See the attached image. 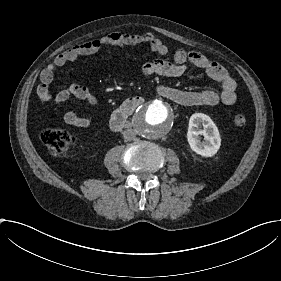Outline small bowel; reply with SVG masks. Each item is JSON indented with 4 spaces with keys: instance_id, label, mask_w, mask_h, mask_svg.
<instances>
[{
    "instance_id": "small-bowel-1",
    "label": "small bowel",
    "mask_w": 281,
    "mask_h": 281,
    "mask_svg": "<svg viewBox=\"0 0 281 281\" xmlns=\"http://www.w3.org/2000/svg\"><path fill=\"white\" fill-rule=\"evenodd\" d=\"M145 46L150 51L158 54H167L168 47L155 33L150 32H112L103 35L97 40L76 44L71 49L61 53L41 73L38 96L43 101L51 100L50 84L56 70L65 63L73 61L78 57L94 53L103 47H138ZM173 62L154 60L146 63L142 71L145 75H159L170 78H178L186 74L191 66L202 69L210 78L220 85L219 93L209 89H181L169 85L160 84L156 87L159 96L182 106H215L222 104L230 106L236 102V82L233 76L225 70L214 59L196 52L175 50L172 53ZM71 95L85 99L90 104H95L97 98L85 87L63 88L54 97V105L65 102ZM65 124L77 128H87L91 120L68 113L64 115Z\"/></svg>"
}]
</instances>
